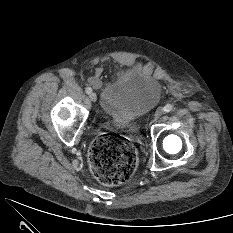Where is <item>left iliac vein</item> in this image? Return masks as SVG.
<instances>
[{
	"label": "left iliac vein",
	"mask_w": 233,
	"mask_h": 233,
	"mask_svg": "<svg viewBox=\"0 0 233 233\" xmlns=\"http://www.w3.org/2000/svg\"><path fill=\"white\" fill-rule=\"evenodd\" d=\"M163 113H164L163 108H158V109L156 110V112H155L154 118H155V119L160 118V117L163 115Z\"/></svg>",
	"instance_id": "4c4485c4"
}]
</instances>
